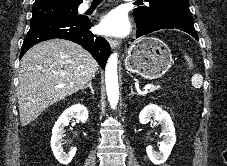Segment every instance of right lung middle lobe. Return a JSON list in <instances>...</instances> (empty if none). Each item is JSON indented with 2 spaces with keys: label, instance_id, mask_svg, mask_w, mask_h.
Returning a JSON list of instances; mask_svg holds the SVG:
<instances>
[{
  "label": "right lung middle lobe",
  "instance_id": "obj_1",
  "mask_svg": "<svg viewBox=\"0 0 227 166\" xmlns=\"http://www.w3.org/2000/svg\"><path fill=\"white\" fill-rule=\"evenodd\" d=\"M77 6L60 3L33 5L31 24L49 18H79Z\"/></svg>",
  "mask_w": 227,
  "mask_h": 166
}]
</instances>
